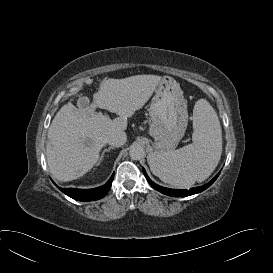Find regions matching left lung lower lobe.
I'll return each instance as SVG.
<instances>
[{
	"instance_id": "obj_1",
	"label": "left lung lower lobe",
	"mask_w": 273,
	"mask_h": 273,
	"mask_svg": "<svg viewBox=\"0 0 273 273\" xmlns=\"http://www.w3.org/2000/svg\"><path fill=\"white\" fill-rule=\"evenodd\" d=\"M143 173L144 176L146 177L148 183L156 190H158L159 192L168 195V196H172V197H187L196 193H200L202 191H204L205 189H207L209 186H211L214 181L217 179V177L219 176L220 173H218L209 183L200 186V187H196V188H192L190 190H176V189H169V188H165L162 186H159L157 184H155L146 174V171L143 169Z\"/></svg>"
}]
</instances>
